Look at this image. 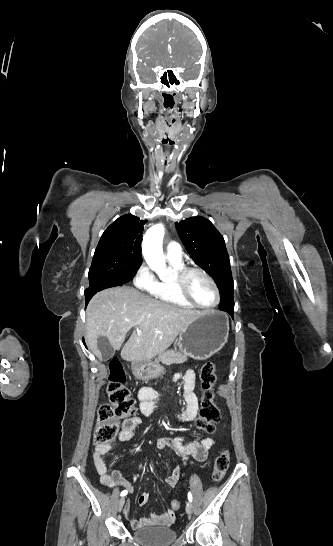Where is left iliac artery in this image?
I'll return each instance as SVG.
<instances>
[{"instance_id":"44dca946","label":"left iliac artery","mask_w":333,"mask_h":546,"mask_svg":"<svg viewBox=\"0 0 333 546\" xmlns=\"http://www.w3.org/2000/svg\"><path fill=\"white\" fill-rule=\"evenodd\" d=\"M188 500H189L190 502H192V500H193L191 492L188 493Z\"/></svg>"}]
</instances>
